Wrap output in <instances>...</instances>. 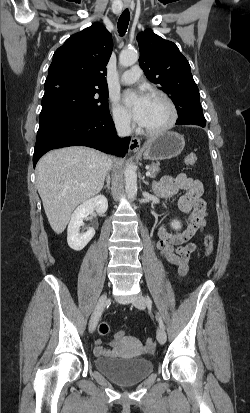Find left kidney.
I'll return each instance as SVG.
<instances>
[{
    "label": "left kidney",
    "mask_w": 250,
    "mask_h": 413,
    "mask_svg": "<svg viewBox=\"0 0 250 413\" xmlns=\"http://www.w3.org/2000/svg\"><path fill=\"white\" fill-rule=\"evenodd\" d=\"M171 226H172L173 229L178 230V229L181 228V223L177 220H173L171 222Z\"/></svg>",
    "instance_id": "obj_1"
}]
</instances>
